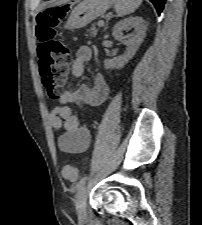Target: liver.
I'll list each match as a JSON object with an SVG mask.
<instances>
[{"label": "liver", "mask_w": 202, "mask_h": 225, "mask_svg": "<svg viewBox=\"0 0 202 225\" xmlns=\"http://www.w3.org/2000/svg\"><path fill=\"white\" fill-rule=\"evenodd\" d=\"M69 0H59L57 4H63V3H66L68 2Z\"/></svg>", "instance_id": "obj_1"}]
</instances>
